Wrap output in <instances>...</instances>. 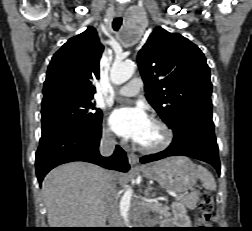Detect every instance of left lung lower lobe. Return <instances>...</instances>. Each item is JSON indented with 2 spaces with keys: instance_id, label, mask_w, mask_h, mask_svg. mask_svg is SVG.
I'll return each instance as SVG.
<instances>
[{
  "instance_id": "1",
  "label": "left lung lower lobe",
  "mask_w": 252,
  "mask_h": 231,
  "mask_svg": "<svg viewBox=\"0 0 252 231\" xmlns=\"http://www.w3.org/2000/svg\"><path fill=\"white\" fill-rule=\"evenodd\" d=\"M170 127L174 132L171 145L162 152L142 157L141 163L184 155L207 162L220 172L212 113L189 111L178 117Z\"/></svg>"
}]
</instances>
